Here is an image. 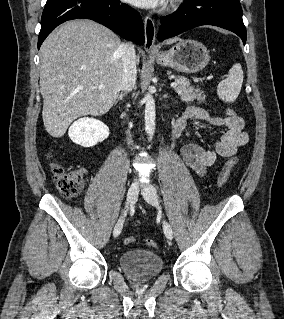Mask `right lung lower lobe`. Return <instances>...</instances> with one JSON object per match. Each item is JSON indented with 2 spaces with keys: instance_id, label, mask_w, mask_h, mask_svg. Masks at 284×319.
<instances>
[{
  "instance_id": "obj_1",
  "label": "right lung lower lobe",
  "mask_w": 284,
  "mask_h": 319,
  "mask_svg": "<svg viewBox=\"0 0 284 319\" xmlns=\"http://www.w3.org/2000/svg\"><path fill=\"white\" fill-rule=\"evenodd\" d=\"M77 18L94 20L125 39L144 43L140 14L119 0H51L47 1L42 14L38 49L59 24Z\"/></svg>"
}]
</instances>
